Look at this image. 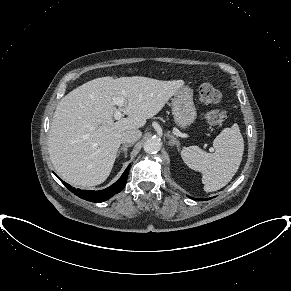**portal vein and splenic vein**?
I'll return each mask as SVG.
<instances>
[{
    "label": "portal vein and splenic vein",
    "mask_w": 291,
    "mask_h": 291,
    "mask_svg": "<svg viewBox=\"0 0 291 291\" xmlns=\"http://www.w3.org/2000/svg\"><path fill=\"white\" fill-rule=\"evenodd\" d=\"M112 102L114 105H116L118 107L114 112V118H115V120H119L122 117L121 107L124 105L125 99L123 97H116L115 96L112 98Z\"/></svg>",
    "instance_id": "18ae733b"
}]
</instances>
